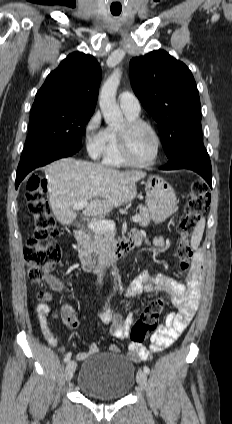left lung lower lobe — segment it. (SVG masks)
<instances>
[{"label":"left lung lower lobe","instance_id":"0a47b994","mask_svg":"<svg viewBox=\"0 0 232 424\" xmlns=\"http://www.w3.org/2000/svg\"><path fill=\"white\" fill-rule=\"evenodd\" d=\"M163 170L190 169L200 174L212 188V169L209 155L203 144L202 134L184 141L169 157Z\"/></svg>","mask_w":232,"mask_h":424}]
</instances>
